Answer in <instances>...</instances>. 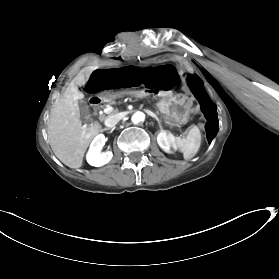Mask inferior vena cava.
Masks as SVG:
<instances>
[{
	"instance_id": "1",
	"label": "inferior vena cava",
	"mask_w": 279,
	"mask_h": 279,
	"mask_svg": "<svg viewBox=\"0 0 279 279\" xmlns=\"http://www.w3.org/2000/svg\"><path fill=\"white\" fill-rule=\"evenodd\" d=\"M109 118L105 120V125L107 127H114L115 124H117V122L121 119L120 116L118 115H112V116H108ZM115 128V127H114Z\"/></svg>"
}]
</instances>
